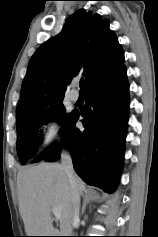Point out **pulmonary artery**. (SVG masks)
<instances>
[{"label": "pulmonary artery", "mask_w": 158, "mask_h": 237, "mask_svg": "<svg viewBox=\"0 0 158 237\" xmlns=\"http://www.w3.org/2000/svg\"><path fill=\"white\" fill-rule=\"evenodd\" d=\"M71 101L76 102L79 99V93L77 91H72L69 95Z\"/></svg>", "instance_id": "e3ab8cb5"}]
</instances>
